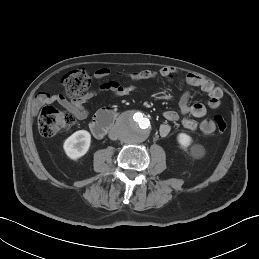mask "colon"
Wrapping results in <instances>:
<instances>
[{
  "label": "colon",
  "instance_id": "1",
  "mask_svg": "<svg viewBox=\"0 0 259 259\" xmlns=\"http://www.w3.org/2000/svg\"><path fill=\"white\" fill-rule=\"evenodd\" d=\"M91 75L82 69L67 73L62 84L65 94L72 99L81 97L89 87ZM215 129L218 133H224L227 129V122L221 115L214 116ZM73 123V114L62 111L53 106H45L39 115L38 128L42 136L51 137Z\"/></svg>",
  "mask_w": 259,
  "mask_h": 259
}]
</instances>
